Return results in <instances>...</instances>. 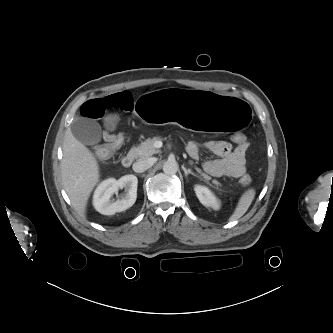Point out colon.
<instances>
[{
    "mask_svg": "<svg viewBox=\"0 0 333 333\" xmlns=\"http://www.w3.org/2000/svg\"><path fill=\"white\" fill-rule=\"evenodd\" d=\"M107 143L104 145L97 146L94 150L95 155L100 160H106L113 156V154L118 150L124 142V136L122 134L105 135ZM231 139L237 145H241L247 142L246 136L241 132H235L232 134ZM252 182V178L250 175L245 174L241 177L240 183L243 186H248Z\"/></svg>",
    "mask_w": 333,
    "mask_h": 333,
    "instance_id": "colon-1",
    "label": "colon"
}]
</instances>
